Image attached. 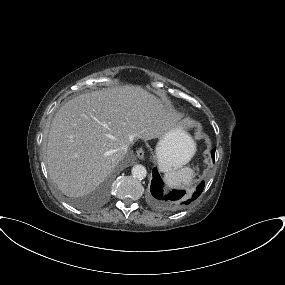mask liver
<instances>
[{"mask_svg":"<svg viewBox=\"0 0 285 285\" xmlns=\"http://www.w3.org/2000/svg\"><path fill=\"white\" fill-rule=\"evenodd\" d=\"M167 105L139 86H114L79 95L56 113L46 163L51 179L67 196H83L115 169L135 139L168 140ZM166 151V149H164ZM175 155L181 152L172 151ZM165 155V154H164Z\"/></svg>","mask_w":285,"mask_h":285,"instance_id":"1","label":"liver"}]
</instances>
